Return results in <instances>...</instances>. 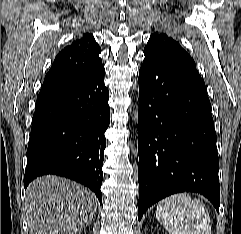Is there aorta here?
<instances>
[{
    "instance_id": "762f6f07",
    "label": "aorta",
    "mask_w": 241,
    "mask_h": 234,
    "mask_svg": "<svg viewBox=\"0 0 241 234\" xmlns=\"http://www.w3.org/2000/svg\"><path fill=\"white\" fill-rule=\"evenodd\" d=\"M137 116V112H135V117Z\"/></svg>"
}]
</instances>
